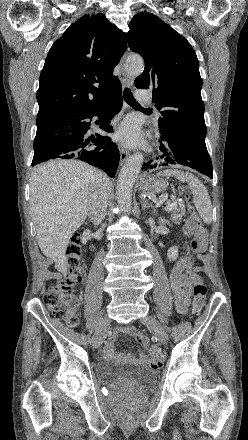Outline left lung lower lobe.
I'll return each mask as SVG.
<instances>
[{
    "instance_id": "0a47b994",
    "label": "left lung lower lobe",
    "mask_w": 248,
    "mask_h": 440,
    "mask_svg": "<svg viewBox=\"0 0 248 440\" xmlns=\"http://www.w3.org/2000/svg\"><path fill=\"white\" fill-rule=\"evenodd\" d=\"M160 149L164 152L159 165H182L193 168L202 174L213 178L212 163L205 141L194 140L175 132H164L160 138ZM148 162L142 169L154 168ZM146 166V167H145Z\"/></svg>"
}]
</instances>
